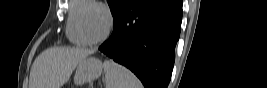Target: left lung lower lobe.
I'll return each mask as SVG.
<instances>
[{
    "instance_id": "1",
    "label": "left lung lower lobe",
    "mask_w": 267,
    "mask_h": 88,
    "mask_svg": "<svg viewBox=\"0 0 267 88\" xmlns=\"http://www.w3.org/2000/svg\"><path fill=\"white\" fill-rule=\"evenodd\" d=\"M181 19L180 0H129L99 50L134 72L145 88H167Z\"/></svg>"
}]
</instances>
